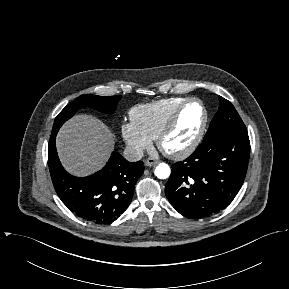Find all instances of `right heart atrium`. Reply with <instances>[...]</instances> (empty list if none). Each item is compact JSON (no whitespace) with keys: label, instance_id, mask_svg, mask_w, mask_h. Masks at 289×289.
Listing matches in <instances>:
<instances>
[{"label":"right heart atrium","instance_id":"d8ad5b80","mask_svg":"<svg viewBox=\"0 0 289 289\" xmlns=\"http://www.w3.org/2000/svg\"><path fill=\"white\" fill-rule=\"evenodd\" d=\"M120 132L128 148L135 154H141L152 145V139L132 121L124 122Z\"/></svg>","mask_w":289,"mask_h":289}]
</instances>
